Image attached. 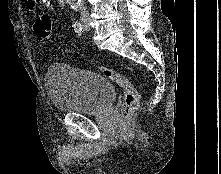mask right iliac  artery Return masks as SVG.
<instances>
[{
  "mask_svg": "<svg viewBox=\"0 0 221 174\" xmlns=\"http://www.w3.org/2000/svg\"><path fill=\"white\" fill-rule=\"evenodd\" d=\"M73 28H74V31L77 34H81L83 32L82 24L80 22H78V21L74 22Z\"/></svg>",
  "mask_w": 221,
  "mask_h": 174,
  "instance_id": "1",
  "label": "right iliac artery"
}]
</instances>
